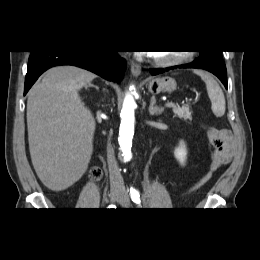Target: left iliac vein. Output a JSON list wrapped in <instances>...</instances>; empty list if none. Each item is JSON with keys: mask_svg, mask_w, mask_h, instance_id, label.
<instances>
[{"mask_svg": "<svg viewBox=\"0 0 260 260\" xmlns=\"http://www.w3.org/2000/svg\"><path fill=\"white\" fill-rule=\"evenodd\" d=\"M120 205L128 207L130 205V199L127 192H122L121 196L118 199Z\"/></svg>", "mask_w": 260, "mask_h": 260, "instance_id": "1", "label": "left iliac vein"}]
</instances>
